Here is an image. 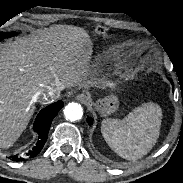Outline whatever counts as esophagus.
I'll list each match as a JSON object with an SVG mask.
<instances>
[{
	"mask_svg": "<svg viewBox=\"0 0 183 183\" xmlns=\"http://www.w3.org/2000/svg\"><path fill=\"white\" fill-rule=\"evenodd\" d=\"M77 99L84 102L88 100V96L86 94H80L77 96Z\"/></svg>",
	"mask_w": 183,
	"mask_h": 183,
	"instance_id": "34e87169",
	"label": "esophagus"
}]
</instances>
